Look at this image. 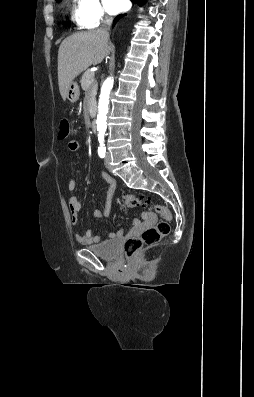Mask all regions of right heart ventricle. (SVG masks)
<instances>
[{
	"label": "right heart ventricle",
	"instance_id": "1",
	"mask_svg": "<svg viewBox=\"0 0 254 397\" xmlns=\"http://www.w3.org/2000/svg\"><path fill=\"white\" fill-rule=\"evenodd\" d=\"M72 18L77 22V19H76V10L73 11V13H72Z\"/></svg>",
	"mask_w": 254,
	"mask_h": 397
}]
</instances>
